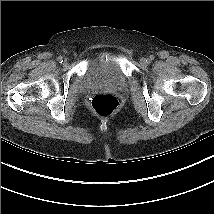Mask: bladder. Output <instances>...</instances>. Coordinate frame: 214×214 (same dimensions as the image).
I'll return each instance as SVG.
<instances>
[{
	"label": "bladder",
	"mask_w": 214,
	"mask_h": 214,
	"mask_svg": "<svg viewBox=\"0 0 214 214\" xmlns=\"http://www.w3.org/2000/svg\"><path fill=\"white\" fill-rule=\"evenodd\" d=\"M125 84L126 78L114 59L92 62L82 78V89L84 91L99 85L122 89Z\"/></svg>",
	"instance_id": "bladder-1"
}]
</instances>
